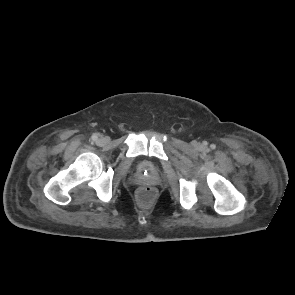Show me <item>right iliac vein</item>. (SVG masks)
Listing matches in <instances>:
<instances>
[{"instance_id":"right-iliac-vein-1","label":"right iliac vein","mask_w":295,"mask_h":295,"mask_svg":"<svg viewBox=\"0 0 295 295\" xmlns=\"http://www.w3.org/2000/svg\"><path fill=\"white\" fill-rule=\"evenodd\" d=\"M107 142H108L107 137H101V138L98 139L99 144H106Z\"/></svg>"}]
</instances>
